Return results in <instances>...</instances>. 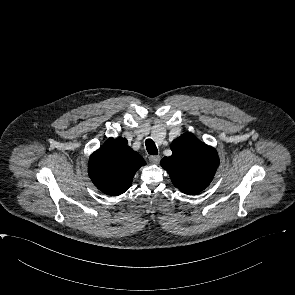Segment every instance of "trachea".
I'll list each match as a JSON object with an SVG mask.
<instances>
[{
	"instance_id": "1",
	"label": "trachea",
	"mask_w": 295,
	"mask_h": 295,
	"mask_svg": "<svg viewBox=\"0 0 295 295\" xmlns=\"http://www.w3.org/2000/svg\"><path fill=\"white\" fill-rule=\"evenodd\" d=\"M145 144H146L147 152L150 155H157L158 154L157 147L152 139H147Z\"/></svg>"
}]
</instances>
